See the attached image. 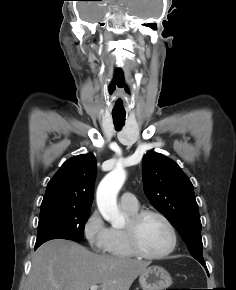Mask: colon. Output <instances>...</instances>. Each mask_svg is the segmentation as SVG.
Listing matches in <instances>:
<instances>
[{
  "label": "colon",
  "mask_w": 236,
  "mask_h": 290,
  "mask_svg": "<svg viewBox=\"0 0 236 290\" xmlns=\"http://www.w3.org/2000/svg\"><path fill=\"white\" fill-rule=\"evenodd\" d=\"M166 290H177V289H171V288H170V289H166Z\"/></svg>",
  "instance_id": "obj_1"
}]
</instances>
